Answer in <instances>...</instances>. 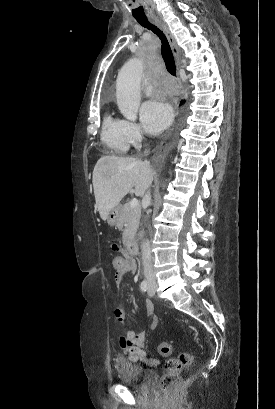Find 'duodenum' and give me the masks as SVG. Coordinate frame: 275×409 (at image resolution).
<instances>
[{
  "label": "duodenum",
  "instance_id": "duodenum-1",
  "mask_svg": "<svg viewBox=\"0 0 275 409\" xmlns=\"http://www.w3.org/2000/svg\"><path fill=\"white\" fill-rule=\"evenodd\" d=\"M127 251L131 256H136L138 254V246L134 241H129L127 244Z\"/></svg>",
  "mask_w": 275,
  "mask_h": 409
}]
</instances>
